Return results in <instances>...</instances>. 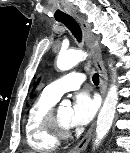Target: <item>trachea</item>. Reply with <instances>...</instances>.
Returning a JSON list of instances; mask_svg holds the SVG:
<instances>
[{"label":"trachea","mask_w":130,"mask_h":153,"mask_svg":"<svg viewBox=\"0 0 130 153\" xmlns=\"http://www.w3.org/2000/svg\"><path fill=\"white\" fill-rule=\"evenodd\" d=\"M59 22H62L74 35L78 42L82 40V32L78 25V23L71 17L66 16L63 18L58 19ZM93 83L95 85H99V74L95 73L92 77Z\"/></svg>","instance_id":"trachea-1"}]
</instances>
